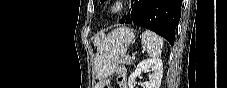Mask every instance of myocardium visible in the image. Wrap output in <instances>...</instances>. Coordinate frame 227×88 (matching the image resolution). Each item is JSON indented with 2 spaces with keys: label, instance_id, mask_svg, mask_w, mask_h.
<instances>
[{
  "label": "myocardium",
  "instance_id": "myocardium-1",
  "mask_svg": "<svg viewBox=\"0 0 227 88\" xmlns=\"http://www.w3.org/2000/svg\"><path fill=\"white\" fill-rule=\"evenodd\" d=\"M123 2L124 1H115L108 9H107V14L109 16H117L120 15L123 10Z\"/></svg>",
  "mask_w": 227,
  "mask_h": 88
}]
</instances>
